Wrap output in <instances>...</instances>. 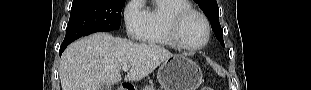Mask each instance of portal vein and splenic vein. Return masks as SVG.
<instances>
[{"label": "portal vein and splenic vein", "instance_id": "portal-vein-and-splenic-vein-1", "mask_svg": "<svg viewBox=\"0 0 311 90\" xmlns=\"http://www.w3.org/2000/svg\"><path fill=\"white\" fill-rule=\"evenodd\" d=\"M129 69H130V66H127V65L122 67L123 71H128Z\"/></svg>", "mask_w": 311, "mask_h": 90}]
</instances>
